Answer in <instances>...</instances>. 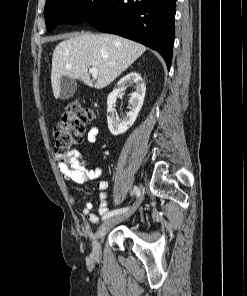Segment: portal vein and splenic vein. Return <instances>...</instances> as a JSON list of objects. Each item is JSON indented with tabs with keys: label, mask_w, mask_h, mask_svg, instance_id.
<instances>
[{
	"label": "portal vein and splenic vein",
	"mask_w": 247,
	"mask_h": 296,
	"mask_svg": "<svg viewBox=\"0 0 247 296\" xmlns=\"http://www.w3.org/2000/svg\"><path fill=\"white\" fill-rule=\"evenodd\" d=\"M89 73H91L93 76H96V74H97V68L96 67H91L89 69Z\"/></svg>",
	"instance_id": "18ae733b"
}]
</instances>
